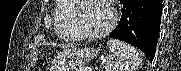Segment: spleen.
<instances>
[{
    "label": "spleen",
    "instance_id": "3e777b00",
    "mask_svg": "<svg viewBox=\"0 0 181 71\" xmlns=\"http://www.w3.org/2000/svg\"><path fill=\"white\" fill-rule=\"evenodd\" d=\"M109 59L105 71H135L140 65V56L137 50L119 40L110 39L107 42Z\"/></svg>",
    "mask_w": 181,
    "mask_h": 71
}]
</instances>
